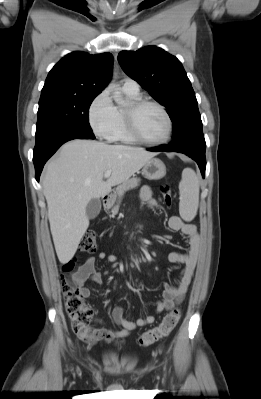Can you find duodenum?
Instances as JSON below:
<instances>
[{"label": "duodenum", "mask_w": 261, "mask_h": 399, "mask_svg": "<svg viewBox=\"0 0 261 399\" xmlns=\"http://www.w3.org/2000/svg\"><path fill=\"white\" fill-rule=\"evenodd\" d=\"M109 203H110V195H109V194H106V195L103 197V204H104V206H108Z\"/></svg>", "instance_id": "410a0bca"}]
</instances>
